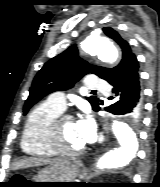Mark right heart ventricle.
Instances as JSON below:
<instances>
[{
	"label": "right heart ventricle",
	"instance_id": "obj_1",
	"mask_svg": "<svg viewBox=\"0 0 160 187\" xmlns=\"http://www.w3.org/2000/svg\"><path fill=\"white\" fill-rule=\"evenodd\" d=\"M61 113L48 100L31 110L21 136V149L26 155L39 158L57 155L49 143V130L52 120Z\"/></svg>",
	"mask_w": 160,
	"mask_h": 187
}]
</instances>
